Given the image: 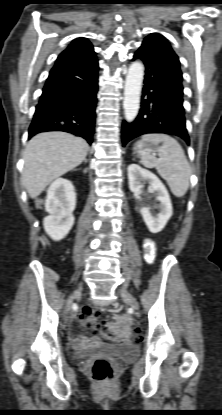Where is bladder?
Segmentation results:
<instances>
[{
  "instance_id": "1",
  "label": "bladder",
  "mask_w": 222,
  "mask_h": 415,
  "mask_svg": "<svg viewBox=\"0 0 222 415\" xmlns=\"http://www.w3.org/2000/svg\"><path fill=\"white\" fill-rule=\"evenodd\" d=\"M98 354H103L112 359L131 360L138 356L139 348L135 343L124 342L120 344H102L93 347L74 346L71 350L73 360H82Z\"/></svg>"
}]
</instances>
